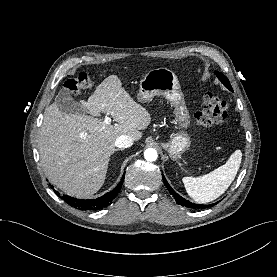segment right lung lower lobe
<instances>
[{
    "mask_svg": "<svg viewBox=\"0 0 277 277\" xmlns=\"http://www.w3.org/2000/svg\"><path fill=\"white\" fill-rule=\"evenodd\" d=\"M124 177H125V175H123L121 181L115 187V189H113L109 193H106L105 195H103L102 197H99L97 199L81 200V199L72 198V197L67 196V195L62 196L61 198L67 204H69L70 206L75 207V208L80 209V210H89V211L99 210V209H102L104 207H107L109 204L112 203V200L119 193V191L122 187Z\"/></svg>",
    "mask_w": 277,
    "mask_h": 277,
    "instance_id": "1",
    "label": "right lung lower lobe"
}]
</instances>
